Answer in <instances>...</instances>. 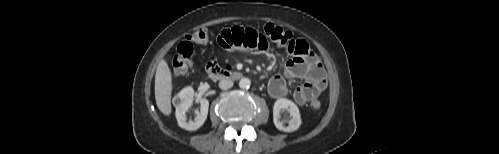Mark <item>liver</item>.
<instances>
[{"instance_id": "6515ba94", "label": "liver", "mask_w": 499, "mask_h": 154, "mask_svg": "<svg viewBox=\"0 0 499 154\" xmlns=\"http://www.w3.org/2000/svg\"><path fill=\"white\" fill-rule=\"evenodd\" d=\"M172 73L165 60L158 64L155 75V99L159 110L166 116L172 112Z\"/></svg>"}]
</instances>
